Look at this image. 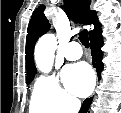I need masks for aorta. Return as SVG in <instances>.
<instances>
[{
    "mask_svg": "<svg viewBox=\"0 0 121 113\" xmlns=\"http://www.w3.org/2000/svg\"><path fill=\"white\" fill-rule=\"evenodd\" d=\"M57 46L56 37L53 34L42 36L35 46V62L43 73H49L53 67L54 53Z\"/></svg>",
    "mask_w": 121,
    "mask_h": 113,
    "instance_id": "obj_1",
    "label": "aorta"
}]
</instances>
